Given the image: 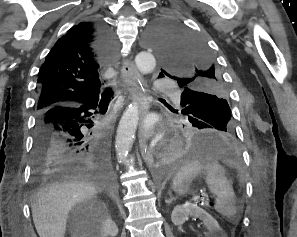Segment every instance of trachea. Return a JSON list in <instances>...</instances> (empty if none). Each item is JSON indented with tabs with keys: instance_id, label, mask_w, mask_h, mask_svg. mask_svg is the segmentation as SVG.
Listing matches in <instances>:
<instances>
[{
	"instance_id": "obj_1",
	"label": "trachea",
	"mask_w": 297,
	"mask_h": 237,
	"mask_svg": "<svg viewBox=\"0 0 297 237\" xmlns=\"http://www.w3.org/2000/svg\"><path fill=\"white\" fill-rule=\"evenodd\" d=\"M114 92L111 88H107L103 93H102V101H108L112 96Z\"/></svg>"
}]
</instances>
